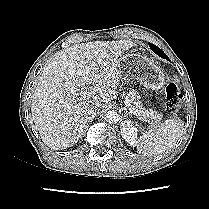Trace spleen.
I'll use <instances>...</instances> for the list:
<instances>
[{"instance_id":"obj_1","label":"spleen","mask_w":209,"mask_h":209,"mask_svg":"<svg viewBox=\"0 0 209 209\" xmlns=\"http://www.w3.org/2000/svg\"><path fill=\"white\" fill-rule=\"evenodd\" d=\"M184 130L180 119H167L164 123L151 127L141 133L137 151L144 156H155L172 148Z\"/></svg>"}]
</instances>
